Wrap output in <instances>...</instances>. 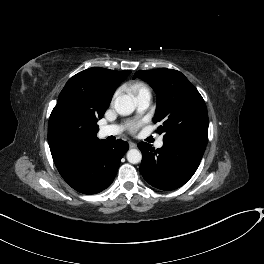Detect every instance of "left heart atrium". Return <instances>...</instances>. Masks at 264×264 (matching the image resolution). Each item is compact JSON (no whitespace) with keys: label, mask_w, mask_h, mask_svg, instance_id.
<instances>
[{"label":"left heart atrium","mask_w":264,"mask_h":264,"mask_svg":"<svg viewBox=\"0 0 264 264\" xmlns=\"http://www.w3.org/2000/svg\"><path fill=\"white\" fill-rule=\"evenodd\" d=\"M138 126H139V124L131 126V131H135Z\"/></svg>","instance_id":"1"}]
</instances>
